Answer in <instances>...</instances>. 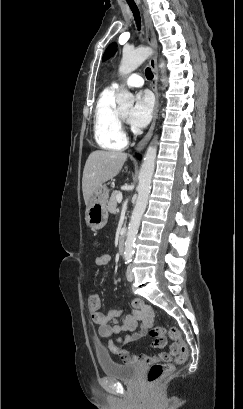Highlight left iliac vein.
Wrapping results in <instances>:
<instances>
[{
	"instance_id": "4c4485c4",
	"label": "left iliac vein",
	"mask_w": 243,
	"mask_h": 409,
	"mask_svg": "<svg viewBox=\"0 0 243 409\" xmlns=\"http://www.w3.org/2000/svg\"><path fill=\"white\" fill-rule=\"evenodd\" d=\"M126 277H127V280L130 281V282L133 281V279H134V275H133V272H132V266L131 265L128 266V268H127Z\"/></svg>"
}]
</instances>
